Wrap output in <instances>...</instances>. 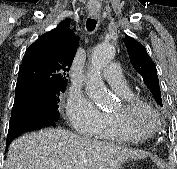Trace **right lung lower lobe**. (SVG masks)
Returning <instances> with one entry per match:
<instances>
[{
  "label": "right lung lower lobe",
  "mask_w": 177,
  "mask_h": 169,
  "mask_svg": "<svg viewBox=\"0 0 177 169\" xmlns=\"http://www.w3.org/2000/svg\"><path fill=\"white\" fill-rule=\"evenodd\" d=\"M56 121V119L42 114L11 116L6 148H8L10 143L20 134L41 127L56 126Z\"/></svg>",
  "instance_id": "obj_1"
}]
</instances>
